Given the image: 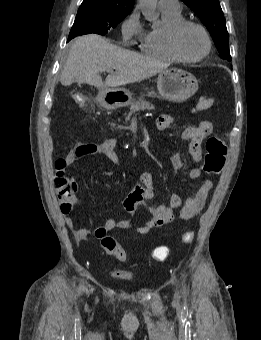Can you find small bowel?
<instances>
[{
	"label": "small bowel",
	"mask_w": 261,
	"mask_h": 340,
	"mask_svg": "<svg viewBox=\"0 0 261 340\" xmlns=\"http://www.w3.org/2000/svg\"><path fill=\"white\" fill-rule=\"evenodd\" d=\"M172 123V118L168 115H162L157 119V128L161 131L166 130ZM213 130V124L204 120L197 126H190L186 128L181 135L182 140L189 142L188 150L193 164V168L189 171V177L191 179L199 178L201 169L202 150L201 143L206 136H208ZM116 139H106L100 143H83L75 146L67 154L66 168L73 164L75 161L84 157L102 155L109 159L113 163L119 162V156L115 152ZM171 163L173 167L180 170L184 167L183 159L179 152L174 150L171 154ZM140 183L136 185L130 193L123 200L125 209L129 212H133L140 206H144L151 215V218L147 220L142 226L137 227L139 234H147L152 229L160 227L166 223L171 222L175 215L174 210L179 209V217L182 220H190L195 217L204 207L207 197L212 190L213 184L210 180H204L199 185L196 193L187 198L183 203L182 199L177 194H172L170 197L169 205H152L151 202L154 199L153 190V176L150 172L144 171L139 177ZM66 225L72 230L75 239L78 242L85 241L92 232L87 228H75L74 221L71 217L65 218ZM130 222L128 220L107 219L105 223L98 227L93 235L97 239H102L106 234L117 229L130 228Z\"/></svg>",
	"instance_id": "small-bowel-1"
}]
</instances>
